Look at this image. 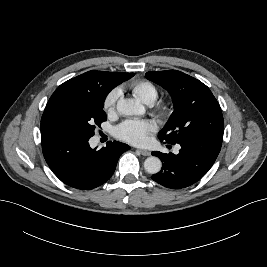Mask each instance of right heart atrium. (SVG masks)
Instances as JSON below:
<instances>
[{
    "label": "right heart atrium",
    "instance_id": "d8ad5b80",
    "mask_svg": "<svg viewBox=\"0 0 267 267\" xmlns=\"http://www.w3.org/2000/svg\"><path fill=\"white\" fill-rule=\"evenodd\" d=\"M119 96H120V91L117 88L112 89L105 96L103 101V109L107 114H111L114 112Z\"/></svg>",
    "mask_w": 267,
    "mask_h": 267
}]
</instances>
